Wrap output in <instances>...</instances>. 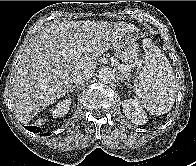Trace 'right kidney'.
<instances>
[{"instance_id": "1", "label": "right kidney", "mask_w": 196, "mask_h": 166, "mask_svg": "<svg viewBox=\"0 0 196 166\" xmlns=\"http://www.w3.org/2000/svg\"><path fill=\"white\" fill-rule=\"evenodd\" d=\"M71 105V99H65L56 104L55 108L51 109V114L53 118H59L66 115L69 111V106Z\"/></svg>"}]
</instances>
